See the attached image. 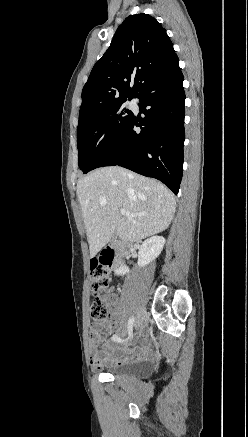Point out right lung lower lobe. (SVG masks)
Instances as JSON below:
<instances>
[{
  "label": "right lung lower lobe",
  "instance_id": "obj_1",
  "mask_svg": "<svg viewBox=\"0 0 248 437\" xmlns=\"http://www.w3.org/2000/svg\"><path fill=\"white\" fill-rule=\"evenodd\" d=\"M144 118L133 116L124 131L92 166L119 165L163 182L175 194L183 171V74L175 55L135 95ZM140 127L141 131L136 132Z\"/></svg>",
  "mask_w": 248,
  "mask_h": 437
}]
</instances>
